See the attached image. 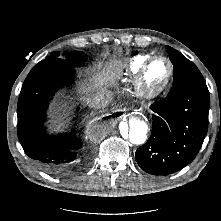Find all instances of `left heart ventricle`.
Returning <instances> with one entry per match:
<instances>
[{"label":"left heart ventricle","mask_w":221,"mask_h":221,"mask_svg":"<svg viewBox=\"0 0 221 221\" xmlns=\"http://www.w3.org/2000/svg\"><path fill=\"white\" fill-rule=\"evenodd\" d=\"M169 66L163 59L155 60L149 67L146 74V84L150 88L161 86L167 79Z\"/></svg>","instance_id":"b2bd125f"}]
</instances>
